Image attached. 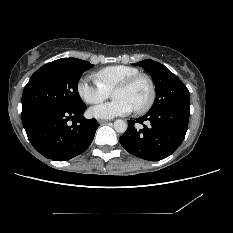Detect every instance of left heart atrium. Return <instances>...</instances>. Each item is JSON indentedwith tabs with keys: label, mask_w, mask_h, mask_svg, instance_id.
<instances>
[{
	"label": "left heart atrium",
	"mask_w": 233,
	"mask_h": 233,
	"mask_svg": "<svg viewBox=\"0 0 233 233\" xmlns=\"http://www.w3.org/2000/svg\"><path fill=\"white\" fill-rule=\"evenodd\" d=\"M134 110L133 106L124 99H116L103 103L92 108V114L101 119H111L117 116L126 115Z\"/></svg>",
	"instance_id": "39dd6f15"
}]
</instances>
